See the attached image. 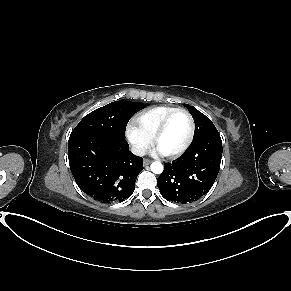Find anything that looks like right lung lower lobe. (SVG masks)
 Wrapping results in <instances>:
<instances>
[{"label":"right lung lower lobe","mask_w":291,"mask_h":291,"mask_svg":"<svg viewBox=\"0 0 291 291\" xmlns=\"http://www.w3.org/2000/svg\"><path fill=\"white\" fill-rule=\"evenodd\" d=\"M68 158L79 188L101 203L121 202L135 189L143 159L123 138L83 135L69 138Z\"/></svg>","instance_id":"right-lung-lower-lobe-1"}]
</instances>
